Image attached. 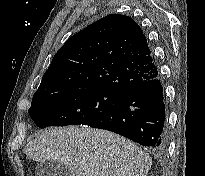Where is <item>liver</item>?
<instances>
[{
	"instance_id": "liver-1",
	"label": "liver",
	"mask_w": 205,
	"mask_h": 176,
	"mask_svg": "<svg viewBox=\"0 0 205 176\" xmlns=\"http://www.w3.org/2000/svg\"><path fill=\"white\" fill-rule=\"evenodd\" d=\"M23 152L37 162L65 164L70 176H146L151 157L132 141L106 130L49 128Z\"/></svg>"
}]
</instances>
